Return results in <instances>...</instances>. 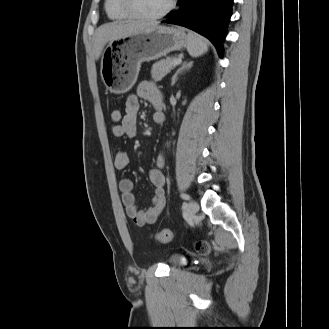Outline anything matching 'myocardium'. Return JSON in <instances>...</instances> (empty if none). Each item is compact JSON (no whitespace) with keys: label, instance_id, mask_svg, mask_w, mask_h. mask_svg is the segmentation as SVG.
<instances>
[{"label":"myocardium","instance_id":"1","mask_svg":"<svg viewBox=\"0 0 329 329\" xmlns=\"http://www.w3.org/2000/svg\"><path fill=\"white\" fill-rule=\"evenodd\" d=\"M120 1V6L123 9V11L129 15L131 18L138 20V21H143V22H154L158 21L165 16H167L175 7V0H169L166 8L162 10L160 13L152 15V16H147L141 14L134 6L133 0H119Z\"/></svg>","mask_w":329,"mask_h":329}]
</instances>
